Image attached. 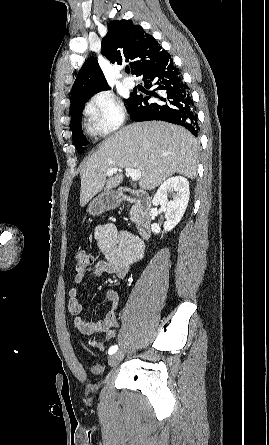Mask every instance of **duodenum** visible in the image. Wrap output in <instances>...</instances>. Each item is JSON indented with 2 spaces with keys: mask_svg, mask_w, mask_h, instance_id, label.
<instances>
[{
  "mask_svg": "<svg viewBox=\"0 0 269 445\" xmlns=\"http://www.w3.org/2000/svg\"><path fill=\"white\" fill-rule=\"evenodd\" d=\"M119 198L124 201L133 202L137 207L136 225L139 235L142 239L149 238L151 234L152 223V203L151 198L145 191L134 190L131 188L120 189Z\"/></svg>",
  "mask_w": 269,
  "mask_h": 445,
  "instance_id": "obj_1",
  "label": "duodenum"
}]
</instances>
